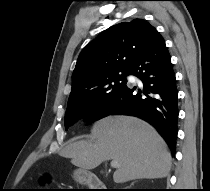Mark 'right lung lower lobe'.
Here are the masks:
<instances>
[{"label":"right lung lower lobe","instance_id":"right-lung-lower-lobe-1","mask_svg":"<svg viewBox=\"0 0 210 191\" xmlns=\"http://www.w3.org/2000/svg\"><path fill=\"white\" fill-rule=\"evenodd\" d=\"M129 74L138 77L143 89L127 84L108 102L99 119L109 115L137 116L153 125L176 150L178 91L171 58L161 35L155 37L131 64Z\"/></svg>","mask_w":210,"mask_h":191}]
</instances>
